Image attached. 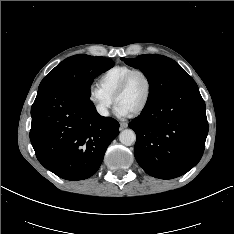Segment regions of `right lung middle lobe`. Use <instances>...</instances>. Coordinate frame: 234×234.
<instances>
[{
    "label": "right lung middle lobe",
    "mask_w": 234,
    "mask_h": 234,
    "mask_svg": "<svg viewBox=\"0 0 234 234\" xmlns=\"http://www.w3.org/2000/svg\"><path fill=\"white\" fill-rule=\"evenodd\" d=\"M114 66V62L104 57L74 55L63 60L56 66L39 85L45 87L69 84L80 95L89 99L90 86L95 77Z\"/></svg>",
    "instance_id": "right-lung-middle-lobe-1"
}]
</instances>
